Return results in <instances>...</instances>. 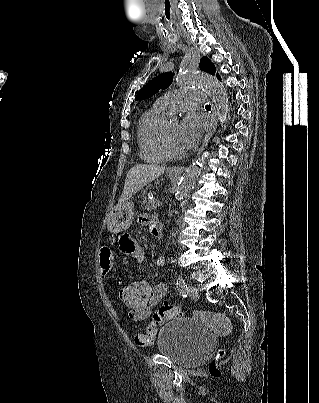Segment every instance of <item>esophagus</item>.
<instances>
[{
  "mask_svg": "<svg viewBox=\"0 0 319 403\" xmlns=\"http://www.w3.org/2000/svg\"><path fill=\"white\" fill-rule=\"evenodd\" d=\"M216 126H217V115H216L215 107L213 106L212 114H211V125H210V128H209L207 134L205 135L203 143L198 151V154H200L203 151V149L207 146L210 138L212 137V135L216 129ZM169 170L175 174H181L184 172L185 167L184 166H174V167H171Z\"/></svg>",
  "mask_w": 319,
  "mask_h": 403,
  "instance_id": "1",
  "label": "esophagus"
}]
</instances>
